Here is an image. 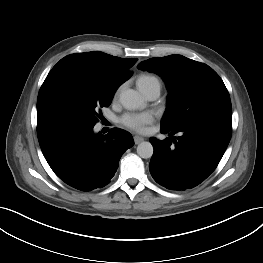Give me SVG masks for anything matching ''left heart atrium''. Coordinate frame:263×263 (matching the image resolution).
<instances>
[{"mask_svg": "<svg viewBox=\"0 0 263 263\" xmlns=\"http://www.w3.org/2000/svg\"><path fill=\"white\" fill-rule=\"evenodd\" d=\"M121 123L137 132H144L146 126L153 121V116L149 113H129L121 118Z\"/></svg>", "mask_w": 263, "mask_h": 263, "instance_id": "39dd6f15", "label": "left heart atrium"}]
</instances>
